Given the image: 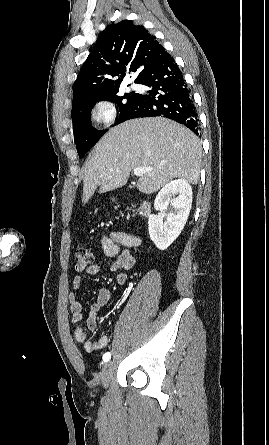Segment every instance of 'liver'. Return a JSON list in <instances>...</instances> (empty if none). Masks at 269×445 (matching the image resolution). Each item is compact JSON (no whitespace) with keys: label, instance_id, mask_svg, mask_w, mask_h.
<instances>
[{"label":"liver","instance_id":"6515ba94","mask_svg":"<svg viewBox=\"0 0 269 445\" xmlns=\"http://www.w3.org/2000/svg\"><path fill=\"white\" fill-rule=\"evenodd\" d=\"M201 143L186 127L166 118L128 120L109 130L96 144L84 165L82 203L100 186V193L124 186L138 167L144 173L137 189L144 194L158 191L174 178L197 184Z\"/></svg>","mask_w":269,"mask_h":445}]
</instances>
